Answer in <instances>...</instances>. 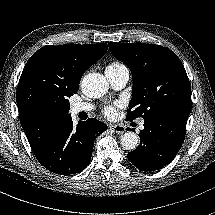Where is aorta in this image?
I'll return each mask as SVG.
<instances>
[{
  "instance_id": "762f6f07",
  "label": "aorta",
  "mask_w": 215,
  "mask_h": 215,
  "mask_svg": "<svg viewBox=\"0 0 215 215\" xmlns=\"http://www.w3.org/2000/svg\"><path fill=\"white\" fill-rule=\"evenodd\" d=\"M108 86L106 78L100 73H90L81 82L82 92L90 98H100L107 92ZM120 143L125 150L133 151L139 145V137L128 131L121 135Z\"/></svg>"
}]
</instances>
